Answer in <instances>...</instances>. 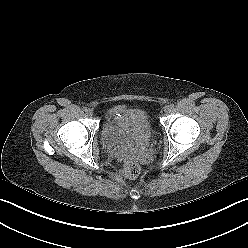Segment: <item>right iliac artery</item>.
Wrapping results in <instances>:
<instances>
[{
	"instance_id": "right-iliac-artery-1",
	"label": "right iliac artery",
	"mask_w": 248,
	"mask_h": 248,
	"mask_svg": "<svg viewBox=\"0 0 248 248\" xmlns=\"http://www.w3.org/2000/svg\"><path fill=\"white\" fill-rule=\"evenodd\" d=\"M83 111H85V112H86V111H87V107H83Z\"/></svg>"
}]
</instances>
